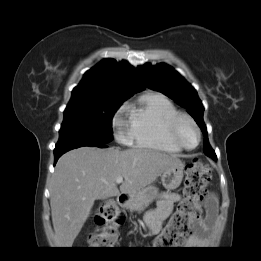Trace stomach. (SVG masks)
Returning a JSON list of instances; mask_svg holds the SVG:
<instances>
[{
  "instance_id": "stomach-1",
  "label": "stomach",
  "mask_w": 261,
  "mask_h": 261,
  "mask_svg": "<svg viewBox=\"0 0 261 261\" xmlns=\"http://www.w3.org/2000/svg\"><path fill=\"white\" fill-rule=\"evenodd\" d=\"M184 164L179 162L169 170L165 171L161 176L162 185L167 190H174L179 187L183 179ZM159 192L155 186H148L125 202V206L130 210H137L148 205L157 198Z\"/></svg>"
}]
</instances>
